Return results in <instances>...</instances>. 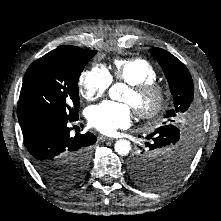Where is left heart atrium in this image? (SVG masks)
<instances>
[{
    "instance_id": "left-heart-atrium-1",
    "label": "left heart atrium",
    "mask_w": 221,
    "mask_h": 221,
    "mask_svg": "<svg viewBox=\"0 0 221 221\" xmlns=\"http://www.w3.org/2000/svg\"><path fill=\"white\" fill-rule=\"evenodd\" d=\"M89 124L104 134H113L126 128L132 121V107L128 103L104 101L87 111Z\"/></svg>"
}]
</instances>
